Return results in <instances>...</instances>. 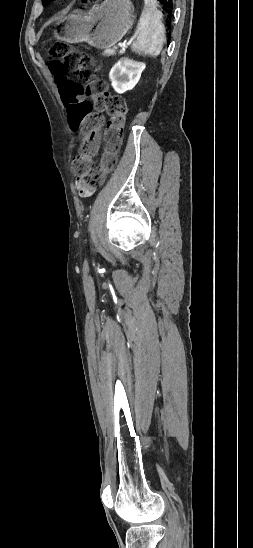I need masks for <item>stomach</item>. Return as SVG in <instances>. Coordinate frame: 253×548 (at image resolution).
Segmentation results:
<instances>
[{"label":"stomach","mask_w":253,"mask_h":548,"mask_svg":"<svg viewBox=\"0 0 253 548\" xmlns=\"http://www.w3.org/2000/svg\"><path fill=\"white\" fill-rule=\"evenodd\" d=\"M134 7L130 0H105L89 12L76 10L64 17L59 35L68 43L87 42L108 50L129 30Z\"/></svg>","instance_id":"1"}]
</instances>
